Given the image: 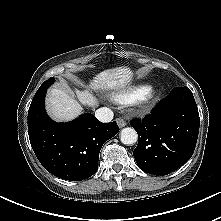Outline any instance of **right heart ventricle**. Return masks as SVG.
Wrapping results in <instances>:
<instances>
[{
	"label": "right heart ventricle",
	"mask_w": 221,
	"mask_h": 221,
	"mask_svg": "<svg viewBox=\"0 0 221 221\" xmlns=\"http://www.w3.org/2000/svg\"><path fill=\"white\" fill-rule=\"evenodd\" d=\"M147 90L146 86H134L118 90L110 95V99L120 105H130L138 101L139 97Z\"/></svg>",
	"instance_id": "e07e8e85"
}]
</instances>
